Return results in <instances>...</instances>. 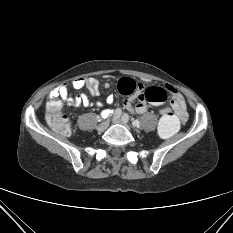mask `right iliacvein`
Segmentation results:
<instances>
[{
	"mask_svg": "<svg viewBox=\"0 0 233 233\" xmlns=\"http://www.w3.org/2000/svg\"><path fill=\"white\" fill-rule=\"evenodd\" d=\"M108 126H109V121L108 120L103 121L102 123L98 125L97 130L99 132H103L108 128Z\"/></svg>",
	"mask_w": 233,
	"mask_h": 233,
	"instance_id": "obj_1",
	"label": "right iliac vein"
}]
</instances>
